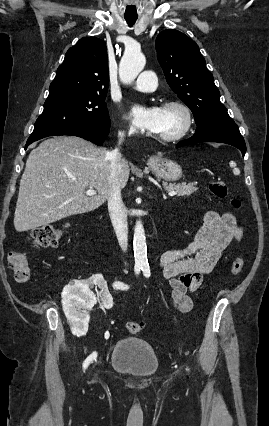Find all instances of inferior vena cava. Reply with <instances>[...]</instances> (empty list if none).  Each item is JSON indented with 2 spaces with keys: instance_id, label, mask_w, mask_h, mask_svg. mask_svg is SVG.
<instances>
[{
  "instance_id": "602c4592",
  "label": "inferior vena cava",
  "mask_w": 269,
  "mask_h": 426,
  "mask_svg": "<svg viewBox=\"0 0 269 426\" xmlns=\"http://www.w3.org/2000/svg\"><path fill=\"white\" fill-rule=\"evenodd\" d=\"M120 135V142L123 134ZM110 159V184L108 193V210L118 242L122 250L126 251L128 246V228L126 208L121 197V185L119 174L122 168L121 153L118 148L109 153Z\"/></svg>"
}]
</instances>
